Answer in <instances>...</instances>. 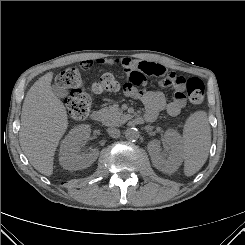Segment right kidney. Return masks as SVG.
Returning <instances> with one entry per match:
<instances>
[{"instance_id":"1","label":"right kidney","mask_w":245,"mask_h":245,"mask_svg":"<svg viewBox=\"0 0 245 245\" xmlns=\"http://www.w3.org/2000/svg\"><path fill=\"white\" fill-rule=\"evenodd\" d=\"M91 128L89 125H79L74 127L62 141L60 146V164L67 170H81L93 164L98 158L97 148L88 153L79 154L80 146L90 136Z\"/></svg>"}]
</instances>
